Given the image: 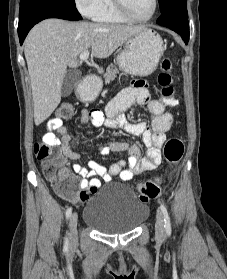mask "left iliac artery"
<instances>
[{
	"label": "left iliac artery",
	"mask_w": 227,
	"mask_h": 279,
	"mask_svg": "<svg viewBox=\"0 0 227 279\" xmlns=\"http://www.w3.org/2000/svg\"><path fill=\"white\" fill-rule=\"evenodd\" d=\"M160 208L162 210V214H163V218H164V227H165L166 233L168 235H170L171 234V221H170L169 213L164 204H161Z\"/></svg>",
	"instance_id": "44dca946"
}]
</instances>
